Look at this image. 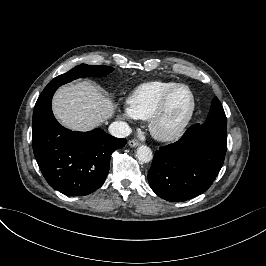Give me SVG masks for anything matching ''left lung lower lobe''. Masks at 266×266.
<instances>
[{"mask_svg": "<svg viewBox=\"0 0 266 266\" xmlns=\"http://www.w3.org/2000/svg\"><path fill=\"white\" fill-rule=\"evenodd\" d=\"M227 150V130L192 125L175 143L155 152L148 181L161 198L179 202L204 193L220 171Z\"/></svg>", "mask_w": 266, "mask_h": 266, "instance_id": "obj_1", "label": "left lung lower lobe"}]
</instances>
